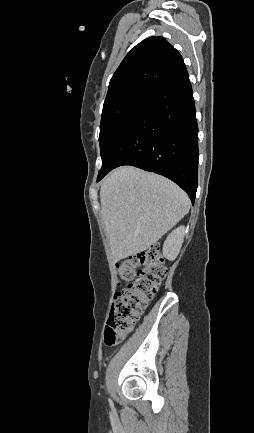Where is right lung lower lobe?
Instances as JSON below:
<instances>
[{"label": "right lung lower lobe", "mask_w": 254, "mask_h": 433, "mask_svg": "<svg viewBox=\"0 0 254 433\" xmlns=\"http://www.w3.org/2000/svg\"><path fill=\"white\" fill-rule=\"evenodd\" d=\"M198 156L195 104L185 70L163 85L129 121L97 181L118 166L132 165L171 179L194 203Z\"/></svg>", "instance_id": "right-lung-lower-lobe-1"}]
</instances>
